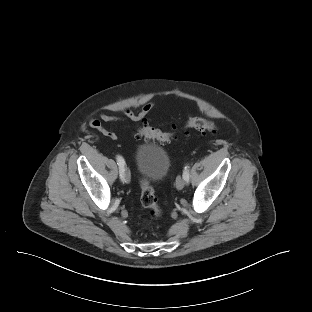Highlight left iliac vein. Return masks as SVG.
Listing matches in <instances>:
<instances>
[{
    "label": "left iliac vein",
    "mask_w": 312,
    "mask_h": 312,
    "mask_svg": "<svg viewBox=\"0 0 312 312\" xmlns=\"http://www.w3.org/2000/svg\"><path fill=\"white\" fill-rule=\"evenodd\" d=\"M185 184H186V182H185L183 177H181V176L177 177V179H176V188L178 190L183 189Z\"/></svg>",
    "instance_id": "1"
}]
</instances>
